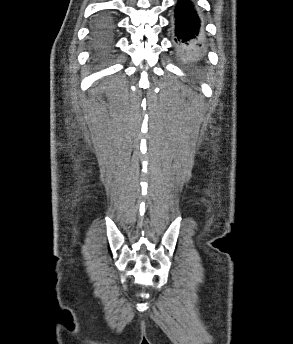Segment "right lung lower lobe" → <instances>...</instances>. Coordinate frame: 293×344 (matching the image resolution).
<instances>
[{
	"label": "right lung lower lobe",
	"instance_id": "1",
	"mask_svg": "<svg viewBox=\"0 0 293 344\" xmlns=\"http://www.w3.org/2000/svg\"><path fill=\"white\" fill-rule=\"evenodd\" d=\"M110 21V20H109ZM113 31V26H112V22L110 21V23H109V28H108V32H107V36L106 37H108L110 34H111V32Z\"/></svg>",
	"mask_w": 293,
	"mask_h": 344
}]
</instances>
